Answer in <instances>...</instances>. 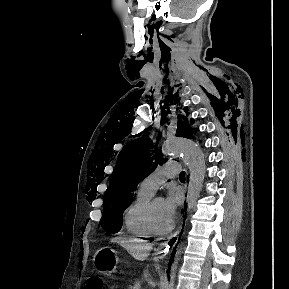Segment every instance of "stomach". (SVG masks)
<instances>
[{
	"mask_svg": "<svg viewBox=\"0 0 289 289\" xmlns=\"http://www.w3.org/2000/svg\"><path fill=\"white\" fill-rule=\"evenodd\" d=\"M94 262L100 273L112 274L117 268V252L109 247H103L96 252Z\"/></svg>",
	"mask_w": 289,
	"mask_h": 289,
	"instance_id": "0dacf381",
	"label": "stomach"
}]
</instances>
